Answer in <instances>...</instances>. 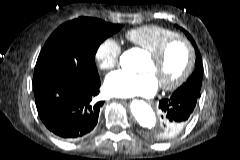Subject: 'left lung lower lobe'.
Masks as SVG:
<instances>
[{
	"instance_id": "left-lung-lower-lobe-1",
	"label": "left lung lower lobe",
	"mask_w": 240,
	"mask_h": 160,
	"mask_svg": "<svg viewBox=\"0 0 240 160\" xmlns=\"http://www.w3.org/2000/svg\"><path fill=\"white\" fill-rule=\"evenodd\" d=\"M197 100L198 98L192 95L172 94L170 98L159 102L165 122V131L160 135V139L172 138L183 129L195 109Z\"/></svg>"
}]
</instances>
